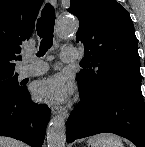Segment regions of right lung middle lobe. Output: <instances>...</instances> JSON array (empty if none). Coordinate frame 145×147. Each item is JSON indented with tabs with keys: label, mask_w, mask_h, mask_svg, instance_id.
<instances>
[{
	"label": "right lung middle lobe",
	"mask_w": 145,
	"mask_h": 147,
	"mask_svg": "<svg viewBox=\"0 0 145 147\" xmlns=\"http://www.w3.org/2000/svg\"><path fill=\"white\" fill-rule=\"evenodd\" d=\"M24 86L18 82V74H0V97H15L22 93Z\"/></svg>",
	"instance_id": "dd1d6c3e"
}]
</instances>
